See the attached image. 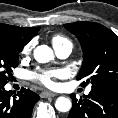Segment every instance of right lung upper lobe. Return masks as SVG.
Listing matches in <instances>:
<instances>
[{"mask_svg":"<svg viewBox=\"0 0 118 118\" xmlns=\"http://www.w3.org/2000/svg\"><path fill=\"white\" fill-rule=\"evenodd\" d=\"M40 27L25 28L7 24H0V34L17 38L26 44L37 34Z\"/></svg>","mask_w":118,"mask_h":118,"instance_id":"right-lung-upper-lobe-1","label":"right lung upper lobe"}]
</instances>
